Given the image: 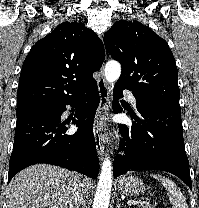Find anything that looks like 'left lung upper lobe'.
<instances>
[{
  "label": "left lung upper lobe",
  "mask_w": 199,
  "mask_h": 208,
  "mask_svg": "<svg viewBox=\"0 0 199 208\" xmlns=\"http://www.w3.org/2000/svg\"><path fill=\"white\" fill-rule=\"evenodd\" d=\"M111 57L121 63L116 85L143 103L180 109L178 71L168 44L138 21H117L104 34Z\"/></svg>",
  "instance_id": "left-lung-upper-lobe-1"
}]
</instances>
